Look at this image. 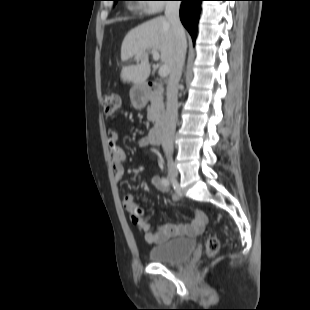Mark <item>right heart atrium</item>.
<instances>
[{
  "label": "right heart atrium",
  "mask_w": 310,
  "mask_h": 310,
  "mask_svg": "<svg viewBox=\"0 0 310 310\" xmlns=\"http://www.w3.org/2000/svg\"><path fill=\"white\" fill-rule=\"evenodd\" d=\"M152 1V4L146 6V10L150 12H160L163 9V0H148Z\"/></svg>",
  "instance_id": "obj_1"
}]
</instances>
